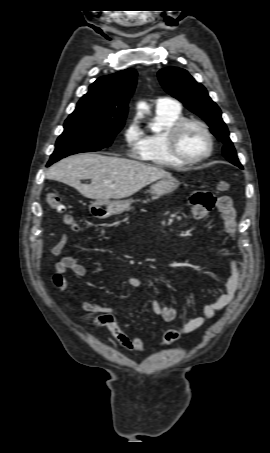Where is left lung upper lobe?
Masks as SVG:
<instances>
[{"instance_id":"obj_1","label":"left lung upper lobe","mask_w":270,"mask_h":453,"mask_svg":"<svg viewBox=\"0 0 270 453\" xmlns=\"http://www.w3.org/2000/svg\"><path fill=\"white\" fill-rule=\"evenodd\" d=\"M158 78L166 92L183 102L190 111L207 122L211 132L224 143L223 155L234 165L243 168L229 138V131L221 118V111L209 97L205 87L181 68L161 69L158 72Z\"/></svg>"}]
</instances>
